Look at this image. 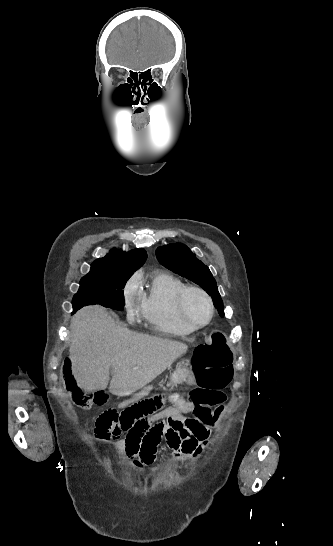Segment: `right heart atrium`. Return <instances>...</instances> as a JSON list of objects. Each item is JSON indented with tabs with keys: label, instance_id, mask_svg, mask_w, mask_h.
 Wrapping results in <instances>:
<instances>
[{
	"label": "right heart atrium",
	"instance_id": "1",
	"mask_svg": "<svg viewBox=\"0 0 333 546\" xmlns=\"http://www.w3.org/2000/svg\"><path fill=\"white\" fill-rule=\"evenodd\" d=\"M136 291V278L130 279L124 288V303L127 315L132 318L135 314L134 294Z\"/></svg>",
	"mask_w": 333,
	"mask_h": 546
}]
</instances>
